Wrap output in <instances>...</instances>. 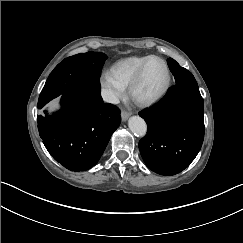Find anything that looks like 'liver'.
Listing matches in <instances>:
<instances>
[{
    "label": "liver",
    "instance_id": "liver-1",
    "mask_svg": "<svg viewBox=\"0 0 243 243\" xmlns=\"http://www.w3.org/2000/svg\"><path fill=\"white\" fill-rule=\"evenodd\" d=\"M52 104L56 105L57 104V100L53 101Z\"/></svg>",
    "mask_w": 243,
    "mask_h": 243
}]
</instances>
